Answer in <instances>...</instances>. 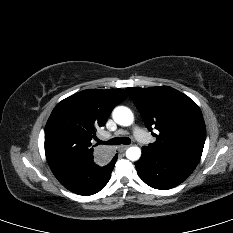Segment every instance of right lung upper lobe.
<instances>
[{
  "mask_svg": "<svg viewBox=\"0 0 233 233\" xmlns=\"http://www.w3.org/2000/svg\"><path fill=\"white\" fill-rule=\"evenodd\" d=\"M122 89H88L73 94L53 109L45 128V155L50 166L95 158L92 138L113 108L127 98Z\"/></svg>",
  "mask_w": 233,
  "mask_h": 233,
  "instance_id": "1",
  "label": "right lung upper lobe"
}]
</instances>
